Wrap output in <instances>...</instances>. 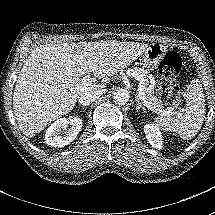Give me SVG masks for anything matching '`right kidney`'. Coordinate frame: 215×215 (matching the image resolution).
<instances>
[{"instance_id":"right-kidney-1","label":"right kidney","mask_w":215,"mask_h":215,"mask_svg":"<svg viewBox=\"0 0 215 215\" xmlns=\"http://www.w3.org/2000/svg\"><path fill=\"white\" fill-rule=\"evenodd\" d=\"M82 129L79 117L59 118L54 121L45 133V143L52 147H64L77 137Z\"/></svg>"}]
</instances>
